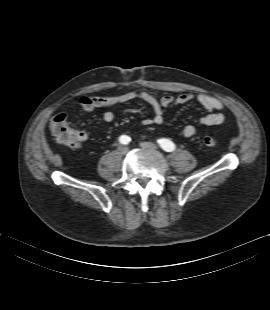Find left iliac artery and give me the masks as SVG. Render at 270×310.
<instances>
[{"label": "left iliac artery", "instance_id": "1", "mask_svg": "<svg viewBox=\"0 0 270 310\" xmlns=\"http://www.w3.org/2000/svg\"><path fill=\"white\" fill-rule=\"evenodd\" d=\"M158 144L163 150L167 152H172L175 150V144L168 139H160L158 140Z\"/></svg>", "mask_w": 270, "mask_h": 310}]
</instances>
